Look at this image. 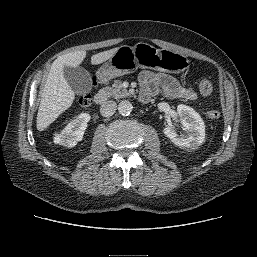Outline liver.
Returning a JSON list of instances; mask_svg holds the SVG:
<instances>
[{"label":"liver","instance_id":"liver-1","mask_svg":"<svg viewBox=\"0 0 257 257\" xmlns=\"http://www.w3.org/2000/svg\"><path fill=\"white\" fill-rule=\"evenodd\" d=\"M117 50L118 48H113L94 54L91 57V63L93 65L101 64L109 60ZM85 57V50L75 51L59 56L52 63L41 94L37 113V130L43 131L46 129L62 112L72 105L75 99V93L66 81L63 69L65 66L78 67Z\"/></svg>","mask_w":257,"mask_h":257}]
</instances>
